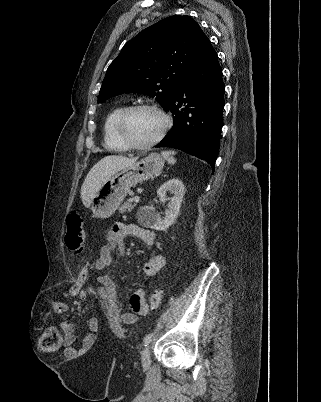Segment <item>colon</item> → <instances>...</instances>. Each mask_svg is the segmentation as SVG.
Listing matches in <instances>:
<instances>
[{
  "label": "colon",
  "mask_w": 321,
  "mask_h": 402,
  "mask_svg": "<svg viewBox=\"0 0 321 402\" xmlns=\"http://www.w3.org/2000/svg\"><path fill=\"white\" fill-rule=\"evenodd\" d=\"M67 231L65 234L66 247L77 255L83 254L86 248L84 223L81 214L77 211H72L66 216ZM91 253H88L86 259L80 269L79 276L70 286L68 293L70 296H77L78 294L85 293V284L87 282ZM163 292L155 290L149 299V307L156 309L159 307L162 300ZM131 308L143 314L147 310L146 301L140 300L131 304ZM62 345V335L60 331L54 326H48L41 334L39 339V349L42 352L50 353L58 350Z\"/></svg>",
  "instance_id": "obj_1"
}]
</instances>
